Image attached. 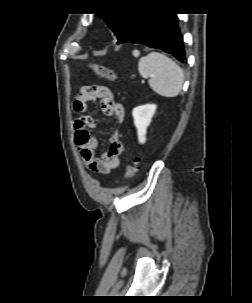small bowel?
Returning a JSON list of instances; mask_svg holds the SVG:
<instances>
[{
    "label": "small bowel",
    "instance_id": "c3829d8e",
    "mask_svg": "<svg viewBox=\"0 0 252 303\" xmlns=\"http://www.w3.org/2000/svg\"><path fill=\"white\" fill-rule=\"evenodd\" d=\"M97 100L100 101L104 114L115 117L117 124L123 122L124 107L116 101L113 92L105 86H83L77 95L75 109L84 114L90 109L91 103ZM96 124V120L89 116L77 120L74 123V140L87 169L96 174H108L119 166L124 144L120 140L118 129H115L111 133L107 151L101 157H97L95 155L97 139L89 132Z\"/></svg>",
    "mask_w": 252,
    "mask_h": 303
}]
</instances>
